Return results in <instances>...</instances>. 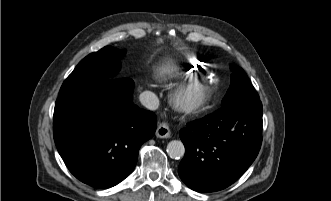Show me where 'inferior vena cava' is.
Listing matches in <instances>:
<instances>
[{
	"label": "inferior vena cava",
	"instance_id": "1",
	"mask_svg": "<svg viewBox=\"0 0 331 201\" xmlns=\"http://www.w3.org/2000/svg\"><path fill=\"white\" fill-rule=\"evenodd\" d=\"M140 102L149 110H156L159 106L158 97L151 91H144L141 93Z\"/></svg>",
	"mask_w": 331,
	"mask_h": 201
}]
</instances>
